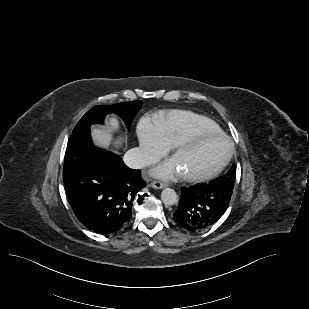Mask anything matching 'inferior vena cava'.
Returning a JSON list of instances; mask_svg holds the SVG:
<instances>
[{
  "label": "inferior vena cava",
  "mask_w": 309,
  "mask_h": 309,
  "mask_svg": "<svg viewBox=\"0 0 309 309\" xmlns=\"http://www.w3.org/2000/svg\"><path fill=\"white\" fill-rule=\"evenodd\" d=\"M123 160L129 168L141 169L145 166L157 163L159 157L143 152L139 148H133L125 153Z\"/></svg>",
  "instance_id": "1"
}]
</instances>
